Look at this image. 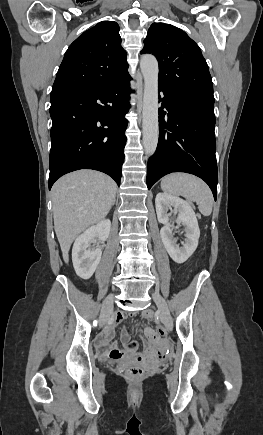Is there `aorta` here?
Returning a JSON list of instances; mask_svg holds the SVG:
<instances>
[{"label":"aorta","mask_w":263,"mask_h":435,"mask_svg":"<svg viewBox=\"0 0 263 435\" xmlns=\"http://www.w3.org/2000/svg\"><path fill=\"white\" fill-rule=\"evenodd\" d=\"M140 69L144 78L143 94V146L145 154H154L159 137L158 123V73L159 67L153 55H144L140 60Z\"/></svg>","instance_id":"762f6f07"}]
</instances>
